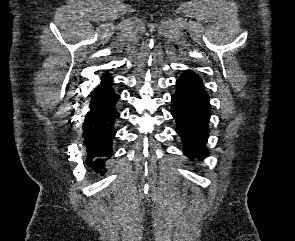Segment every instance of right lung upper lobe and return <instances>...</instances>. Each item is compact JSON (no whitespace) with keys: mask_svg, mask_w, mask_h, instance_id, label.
Instances as JSON below:
<instances>
[{"mask_svg":"<svg viewBox=\"0 0 295 241\" xmlns=\"http://www.w3.org/2000/svg\"><path fill=\"white\" fill-rule=\"evenodd\" d=\"M101 80H102V82H101V84H102V83H106V82L110 81L111 78H110V76H109L108 74H104V75L101 77Z\"/></svg>","mask_w":295,"mask_h":241,"instance_id":"right-lung-upper-lobe-1","label":"right lung upper lobe"}]
</instances>
